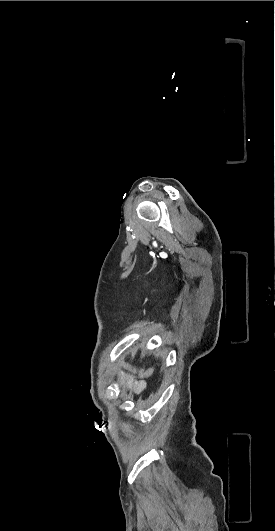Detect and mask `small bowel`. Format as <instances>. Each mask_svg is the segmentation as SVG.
<instances>
[{"instance_id":"small-bowel-1","label":"small bowel","mask_w":275,"mask_h":531,"mask_svg":"<svg viewBox=\"0 0 275 531\" xmlns=\"http://www.w3.org/2000/svg\"><path fill=\"white\" fill-rule=\"evenodd\" d=\"M119 376L124 384L131 387L135 393H141L146 388V382L144 380H136L125 373H120Z\"/></svg>"}]
</instances>
